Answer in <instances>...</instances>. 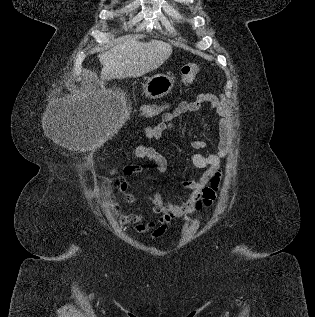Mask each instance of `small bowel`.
Returning <instances> with one entry per match:
<instances>
[{
	"label": "small bowel",
	"mask_w": 315,
	"mask_h": 317,
	"mask_svg": "<svg viewBox=\"0 0 315 317\" xmlns=\"http://www.w3.org/2000/svg\"><path fill=\"white\" fill-rule=\"evenodd\" d=\"M209 104L216 110L220 119L218 121L219 141L216 151L204 155L195 153L191 156L193 166L205 169L198 181L184 180L181 182V188L189 191L190 195L183 204H174L163 199L161 194L154 190L151 194L140 195L137 193H128V184L126 177L143 173L141 165H127L123 168L124 178L120 182V191L123 193L127 202H135L140 198L145 199L151 204V214L158 215L156 220H147L142 214L128 213L121 217L124 224L131 225L135 233L141 234L150 239L162 237L172 220L180 218L194 210L209 206L216 197L220 184V165L221 160L229 153L231 146V123L226 108L210 94H198L192 101H183L172 111L162 115L161 121L153 126L144 128L145 137L153 140L161 139L163 133L168 129H174V121L185 113H195L200 110L201 106ZM191 147L194 149H204L208 144L202 140L191 141ZM134 154L137 158L145 160L155 165L160 172H165L168 167L166 158L151 146L138 145ZM116 173V168L110 170V175Z\"/></svg>",
	"instance_id": "obj_1"
}]
</instances>
